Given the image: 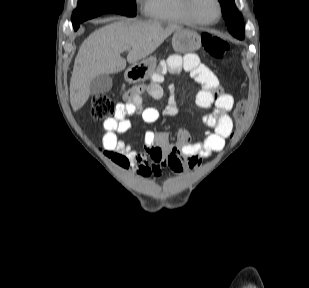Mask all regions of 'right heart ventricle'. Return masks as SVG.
Segmentation results:
<instances>
[{
	"label": "right heart ventricle",
	"mask_w": 309,
	"mask_h": 288,
	"mask_svg": "<svg viewBox=\"0 0 309 288\" xmlns=\"http://www.w3.org/2000/svg\"><path fill=\"white\" fill-rule=\"evenodd\" d=\"M183 4L184 0H145L144 14L156 21L192 24Z\"/></svg>",
	"instance_id": "1"
}]
</instances>
